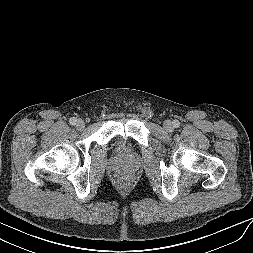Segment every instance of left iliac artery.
<instances>
[{"label": "left iliac artery", "instance_id": "left-iliac-artery-1", "mask_svg": "<svg viewBox=\"0 0 253 253\" xmlns=\"http://www.w3.org/2000/svg\"><path fill=\"white\" fill-rule=\"evenodd\" d=\"M173 125H174V127H179L180 126V123H179V121L178 120H174L173 121Z\"/></svg>", "mask_w": 253, "mask_h": 253}]
</instances>
